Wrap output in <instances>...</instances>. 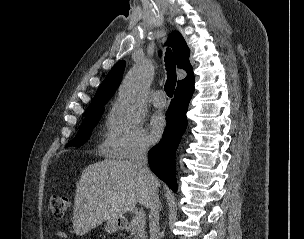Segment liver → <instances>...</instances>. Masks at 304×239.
Instances as JSON below:
<instances>
[{
	"label": "liver",
	"mask_w": 304,
	"mask_h": 239,
	"mask_svg": "<svg viewBox=\"0 0 304 239\" xmlns=\"http://www.w3.org/2000/svg\"><path fill=\"white\" fill-rule=\"evenodd\" d=\"M149 201L150 190L130 161L105 159L91 164L77 184L74 232L82 236L104 221L121 218L137 203L148 207Z\"/></svg>",
	"instance_id": "obj_1"
}]
</instances>
